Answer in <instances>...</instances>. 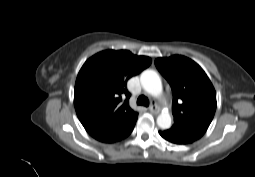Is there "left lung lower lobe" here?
<instances>
[{
	"mask_svg": "<svg viewBox=\"0 0 255 177\" xmlns=\"http://www.w3.org/2000/svg\"><path fill=\"white\" fill-rule=\"evenodd\" d=\"M159 134L166 139L169 142L175 143V144H187V143H191L188 140L175 135L173 133H171L169 130H165V131H159Z\"/></svg>",
	"mask_w": 255,
	"mask_h": 177,
	"instance_id": "0a47b994",
	"label": "left lung lower lobe"
}]
</instances>
